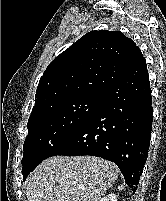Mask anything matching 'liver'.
Instances as JSON below:
<instances>
[{
    "label": "liver",
    "instance_id": "obj_1",
    "mask_svg": "<svg viewBox=\"0 0 166 201\" xmlns=\"http://www.w3.org/2000/svg\"><path fill=\"white\" fill-rule=\"evenodd\" d=\"M118 179V168L95 156H54L26 180L28 201H100Z\"/></svg>",
    "mask_w": 166,
    "mask_h": 201
}]
</instances>
